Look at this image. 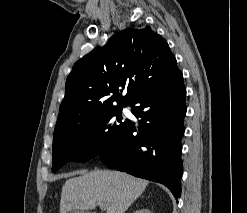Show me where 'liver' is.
Listing matches in <instances>:
<instances>
[{
	"label": "liver",
	"instance_id": "obj_1",
	"mask_svg": "<svg viewBox=\"0 0 247 213\" xmlns=\"http://www.w3.org/2000/svg\"><path fill=\"white\" fill-rule=\"evenodd\" d=\"M147 185V180L124 172H80L78 177L66 180L62 188L60 213L93 210L101 202L106 213H125Z\"/></svg>",
	"mask_w": 247,
	"mask_h": 213
}]
</instances>
